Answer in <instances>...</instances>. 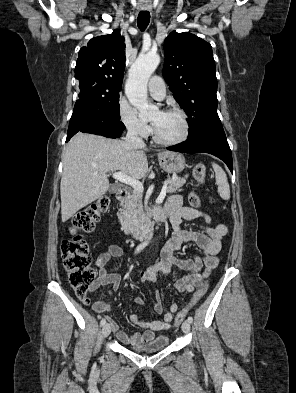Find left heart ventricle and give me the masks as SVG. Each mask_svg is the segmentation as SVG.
<instances>
[{"mask_svg":"<svg viewBox=\"0 0 296 393\" xmlns=\"http://www.w3.org/2000/svg\"><path fill=\"white\" fill-rule=\"evenodd\" d=\"M150 121L157 135L163 140H175L183 133L182 119L178 114L156 111Z\"/></svg>","mask_w":296,"mask_h":393,"instance_id":"obj_1","label":"left heart ventricle"}]
</instances>
